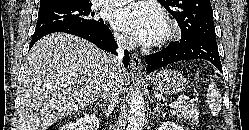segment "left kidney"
Returning <instances> with one entry per match:
<instances>
[{
	"mask_svg": "<svg viewBox=\"0 0 249 130\" xmlns=\"http://www.w3.org/2000/svg\"><path fill=\"white\" fill-rule=\"evenodd\" d=\"M159 130H184L181 126L176 125L174 122L166 121L161 124Z\"/></svg>",
	"mask_w": 249,
	"mask_h": 130,
	"instance_id": "1",
	"label": "left kidney"
}]
</instances>
